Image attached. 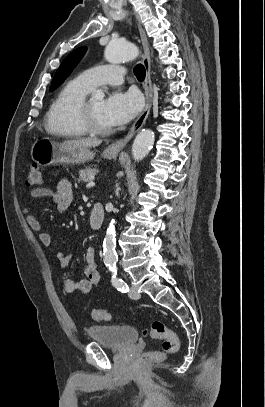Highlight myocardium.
Segmentation results:
<instances>
[{
	"mask_svg": "<svg viewBox=\"0 0 265 407\" xmlns=\"http://www.w3.org/2000/svg\"><path fill=\"white\" fill-rule=\"evenodd\" d=\"M76 116L80 126L87 134L106 136L113 131L112 128H101L96 124L89 106V101L84 100L78 106Z\"/></svg>",
	"mask_w": 265,
	"mask_h": 407,
	"instance_id": "obj_1",
	"label": "myocardium"
}]
</instances>
